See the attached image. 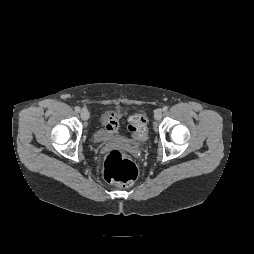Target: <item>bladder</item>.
<instances>
[{
  "mask_svg": "<svg viewBox=\"0 0 254 254\" xmlns=\"http://www.w3.org/2000/svg\"><path fill=\"white\" fill-rule=\"evenodd\" d=\"M111 136H112L111 133H109L108 131L103 130V129H98L94 133V139L97 142L105 141V140L109 139Z\"/></svg>",
  "mask_w": 254,
  "mask_h": 254,
  "instance_id": "31cf9c89",
  "label": "bladder"
}]
</instances>
